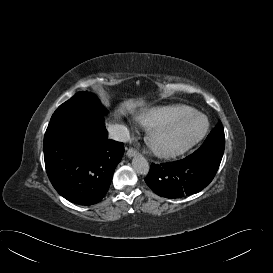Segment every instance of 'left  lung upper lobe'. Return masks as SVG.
Returning a JSON list of instances; mask_svg holds the SVG:
<instances>
[{"instance_id": "obj_1", "label": "left lung upper lobe", "mask_w": 273, "mask_h": 273, "mask_svg": "<svg viewBox=\"0 0 273 273\" xmlns=\"http://www.w3.org/2000/svg\"><path fill=\"white\" fill-rule=\"evenodd\" d=\"M225 147V135L222 123L219 121L216 127L207 136L201 147L195 151L197 154L211 156L218 161L222 160Z\"/></svg>"}]
</instances>
